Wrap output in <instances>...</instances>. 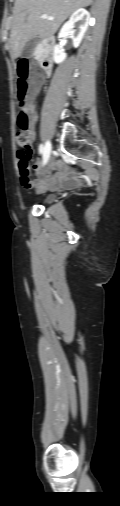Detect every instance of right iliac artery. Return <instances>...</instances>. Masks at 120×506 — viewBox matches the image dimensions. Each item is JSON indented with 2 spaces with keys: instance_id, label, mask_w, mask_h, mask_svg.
Here are the masks:
<instances>
[{
  "instance_id": "82829eb1",
  "label": "right iliac artery",
  "mask_w": 120,
  "mask_h": 506,
  "mask_svg": "<svg viewBox=\"0 0 120 506\" xmlns=\"http://www.w3.org/2000/svg\"><path fill=\"white\" fill-rule=\"evenodd\" d=\"M44 151H45V147L42 144H40L39 153L44 155ZM47 161H48V158L44 160V164L47 163Z\"/></svg>"
}]
</instances>
